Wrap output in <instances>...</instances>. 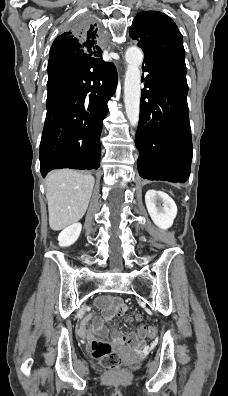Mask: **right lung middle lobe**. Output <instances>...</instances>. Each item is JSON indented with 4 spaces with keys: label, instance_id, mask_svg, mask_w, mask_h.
I'll return each instance as SVG.
<instances>
[{
    "label": "right lung middle lobe",
    "instance_id": "right-lung-middle-lobe-1",
    "mask_svg": "<svg viewBox=\"0 0 228 396\" xmlns=\"http://www.w3.org/2000/svg\"><path fill=\"white\" fill-rule=\"evenodd\" d=\"M77 27H85L88 26L87 20H80L77 22ZM61 71L60 70H52L48 71V83L54 80L56 77L60 75Z\"/></svg>",
    "mask_w": 228,
    "mask_h": 396
}]
</instances>
